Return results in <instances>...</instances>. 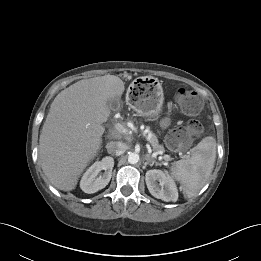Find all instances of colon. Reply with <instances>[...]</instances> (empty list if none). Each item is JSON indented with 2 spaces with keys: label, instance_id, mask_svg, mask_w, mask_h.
Segmentation results:
<instances>
[{
  "label": "colon",
  "instance_id": "colon-1",
  "mask_svg": "<svg viewBox=\"0 0 261 261\" xmlns=\"http://www.w3.org/2000/svg\"><path fill=\"white\" fill-rule=\"evenodd\" d=\"M176 101L180 109L188 115L199 114L202 100L199 95L187 88H179L176 92ZM203 124L198 119H191L186 126L174 129L167 137V143L172 150L187 148L194 136L201 134Z\"/></svg>",
  "mask_w": 261,
  "mask_h": 261
}]
</instances>
